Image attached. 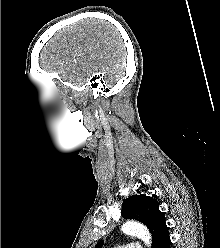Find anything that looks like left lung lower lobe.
Returning <instances> with one entry per match:
<instances>
[{"label":"left lung lower lobe","instance_id":"left-lung-lower-lobe-1","mask_svg":"<svg viewBox=\"0 0 220 248\" xmlns=\"http://www.w3.org/2000/svg\"><path fill=\"white\" fill-rule=\"evenodd\" d=\"M170 245H171V240L168 234V228L166 226L161 231V234L158 237V239L152 245V248H170Z\"/></svg>","mask_w":220,"mask_h":248}]
</instances>
